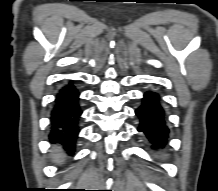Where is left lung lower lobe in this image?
<instances>
[{
    "label": "left lung lower lobe",
    "instance_id": "obj_1",
    "mask_svg": "<svg viewBox=\"0 0 218 191\" xmlns=\"http://www.w3.org/2000/svg\"><path fill=\"white\" fill-rule=\"evenodd\" d=\"M140 118L138 131L144 132L152 144V148H163L169 130L165 125L164 110L159 102V95L154 92L144 94L142 105L135 111Z\"/></svg>",
    "mask_w": 218,
    "mask_h": 191
}]
</instances>
